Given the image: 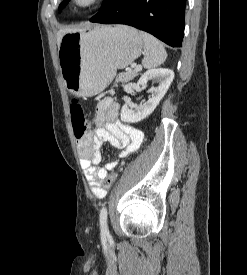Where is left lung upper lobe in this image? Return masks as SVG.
Returning <instances> with one entry per match:
<instances>
[{
	"label": "left lung upper lobe",
	"mask_w": 247,
	"mask_h": 275,
	"mask_svg": "<svg viewBox=\"0 0 247 275\" xmlns=\"http://www.w3.org/2000/svg\"><path fill=\"white\" fill-rule=\"evenodd\" d=\"M68 1H69V0H64V1L60 4L59 9H62V8L68 3ZM109 1H110V0H104L102 7H104Z\"/></svg>",
	"instance_id": "5c2ea615"
}]
</instances>
